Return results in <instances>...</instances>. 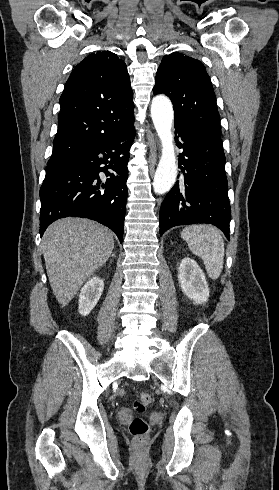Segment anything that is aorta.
<instances>
[{
  "label": "aorta",
  "mask_w": 279,
  "mask_h": 490,
  "mask_svg": "<svg viewBox=\"0 0 279 490\" xmlns=\"http://www.w3.org/2000/svg\"><path fill=\"white\" fill-rule=\"evenodd\" d=\"M151 117L161 141L162 152L153 180V189L157 194H164L172 188L177 177L176 155L172 134L174 111L169 98L164 95H158L153 98Z\"/></svg>",
  "instance_id": "obj_1"
}]
</instances>
